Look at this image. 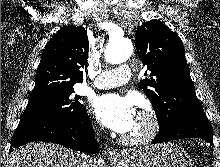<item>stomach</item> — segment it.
<instances>
[{"instance_id": "stomach-1", "label": "stomach", "mask_w": 220, "mask_h": 167, "mask_svg": "<svg viewBox=\"0 0 220 167\" xmlns=\"http://www.w3.org/2000/svg\"><path fill=\"white\" fill-rule=\"evenodd\" d=\"M115 167H193L188 153L174 143L146 146L121 159L112 161Z\"/></svg>"}]
</instances>
